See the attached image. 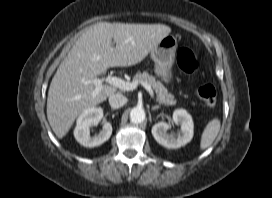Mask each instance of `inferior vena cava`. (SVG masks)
<instances>
[{"instance_id":"inferior-vena-cava-1","label":"inferior vena cava","mask_w":272,"mask_h":198,"mask_svg":"<svg viewBox=\"0 0 272 198\" xmlns=\"http://www.w3.org/2000/svg\"><path fill=\"white\" fill-rule=\"evenodd\" d=\"M127 102V98L121 93L112 94L109 96V104L112 108H120Z\"/></svg>"}]
</instances>
